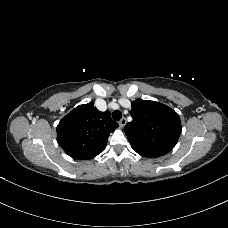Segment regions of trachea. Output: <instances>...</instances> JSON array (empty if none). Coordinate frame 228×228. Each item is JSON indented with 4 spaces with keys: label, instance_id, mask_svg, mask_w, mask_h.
<instances>
[{
    "label": "trachea",
    "instance_id": "obj_1",
    "mask_svg": "<svg viewBox=\"0 0 228 228\" xmlns=\"http://www.w3.org/2000/svg\"><path fill=\"white\" fill-rule=\"evenodd\" d=\"M122 117V113L121 111L119 110H115L113 113H112V118L115 120V121H119Z\"/></svg>",
    "mask_w": 228,
    "mask_h": 228
}]
</instances>
